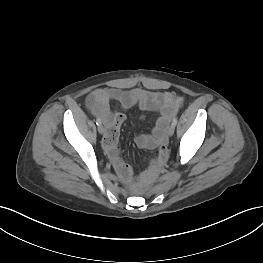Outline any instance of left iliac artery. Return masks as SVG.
I'll list each match as a JSON object with an SVG mask.
<instances>
[{
	"instance_id": "44dca946",
	"label": "left iliac artery",
	"mask_w": 263,
	"mask_h": 263,
	"mask_svg": "<svg viewBox=\"0 0 263 263\" xmlns=\"http://www.w3.org/2000/svg\"><path fill=\"white\" fill-rule=\"evenodd\" d=\"M177 122H178V119L174 118L173 121H172V125L176 126Z\"/></svg>"
}]
</instances>
